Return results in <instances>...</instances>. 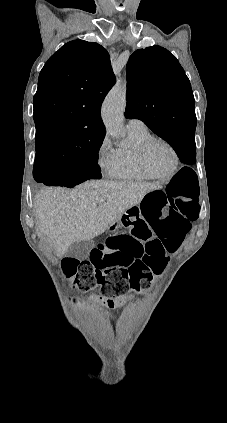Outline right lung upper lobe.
<instances>
[{
	"instance_id": "cb5924a9",
	"label": "right lung upper lobe",
	"mask_w": 227,
	"mask_h": 423,
	"mask_svg": "<svg viewBox=\"0 0 227 423\" xmlns=\"http://www.w3.org/2000/svg\"><path fill=\"white\" fill-rule=\"evenodd\" d=\"M115 83L107 51L73 40L44 65L34 96L36 146L105 134L100 109Z\"/></svg>"
}]
</instances>
